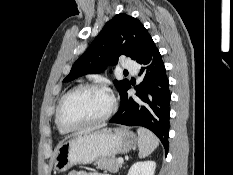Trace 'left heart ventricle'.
Wrapping results in <instances>:
<instances>
[{"label":"left heart ventricle","instance_id":"1","mask_svg":"<svg viewBox=\"0 0 233 175\" xmlns=\"http://www.w3.org/2000/svg\"><path fill=\"white\" fill-rule=\"evenodd\" d=\"M110 107L109 95L98 89L82 90L64 103L62 120L65 124L79 125L104 115Z\"/></svg>","mask_w":233,"mask_h":175}]
</instances>
